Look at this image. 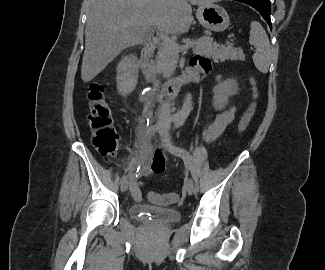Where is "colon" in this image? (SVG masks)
Listing matches in <instances>:
<instances>
[{"label":"colon","mask_w":325,"mask_h":270,"mask_svg":"<svg viewBox=\"0 0 325 270\" xmlns=\"http://www.w3.org/2000/svg\"><path fill=\"white\" fill-rule=\"evenodd\" d=\"M252 102L244 112L238 124V132L242 133L248 127L255 114L258 100V89L253 79ZM88 124L92 133V143L104 158L109 159L115 155L117 149L118 135L112 126V117L109 105L104 96V88L99 82H93L89 86L88 94ZM148 198L160 205H169L180 200L178 193L160 194L150 192Z\"/></svg>","instance_id":"obj_1"}]
</instances>
